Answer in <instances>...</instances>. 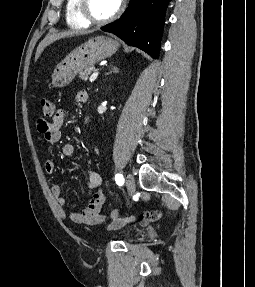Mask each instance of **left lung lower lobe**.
Returning <instances> with one entry per match:
<instances>
[{
	"mask_svg": "<svg viewBox=\"0 0 255 287\" xmlns=\"http://www.w3.org/2000/svg\"><path fill=\"white\" fill-rule=\"evenodd\" d=\"M171 0H130L119 20L101 29L122 39L157 59L165 13Z\"/></svg>",
	"mask_w": 255,
	"mask_h": 287,
	"instance_id": "0a47b994",
	"label": "left lung lower lobe"
}]
</instances>
